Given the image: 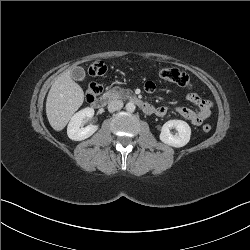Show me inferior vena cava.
Here are the masks:
<instances>
[{
    "label": "inferior vena cava",
    "instance_id": "inferior-vena-cava-1",
    "mask_svg": "<svg viewBox=\"0 0 250 250\" xmlns=\"http://www.w3.org/2000/svg\"><path fill=\"white\" fill-rule=\"evenodd\" d=\"M122 107H123L122 100H113V101L109 102V104H108V111L115 112L117 110H120Z\"/></svg>",
    "mask_w": 250,
    "mask_h": 250
}]
</instances>
